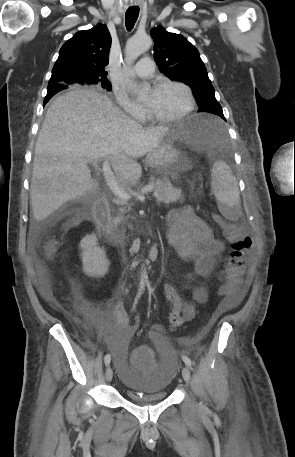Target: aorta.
Masks as SVG:
<instances>
[{
  "mask_svg": "<svg viewBox=\"0 0 295 457\" xmlns=\"http://www.w3.org/2000/svg\"><path fill=\"white\" fill-rule=\"evenodd\" d=\"M151 46V39L148 35H134L131 37L126 44L125 53L128 64L133 63L141 54L147 51ZM127 70V69H126ZM126 83L128 88L132 91H139L137 85L126 76ZM147 272L146 268H142L140 283H139V292L145 290V284L147 281Z\"/></svg>",
  "mask_w": 295,
  "mask_h": 457,
  "instance_id": "762f6f07",
  "label": "aorta"
}]
</instances>
